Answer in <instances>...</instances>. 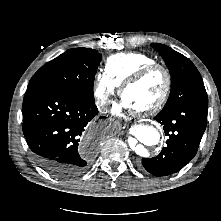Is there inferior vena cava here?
I'll return each instance as SVG.
<instances>
[{
	"instance_id": "602c4592",
	"label": "inferior vena cava",
	"mask_w": 221,
	"mask_h": 221,
	"mask_svg": "<svg viewBox=\"0 0 221 221\" xmlns=\"http://www.w3.org/2000/svg\"><path fill=\"white\" fill-rule=\"evenodd\" d=\"M100 110H102V111H105V110H107V106H106V103L105 102H102V103H100Z\"/></svg>"
}]
</instances>
